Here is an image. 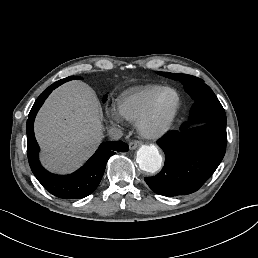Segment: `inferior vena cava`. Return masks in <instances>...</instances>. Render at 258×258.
I'll use <instances>...</instances> for the list:
<instances>
[{
    "label": "inferior vena cava",
    "instance_id": "602c4592",
    "mask_svg": "<svg viewBox=\"0 0 258 258\" xmlns=\"http://www.w3.org/2000/svg\"><path fill=\"white\" fill-rule=\"evenodd\" d=\"M108 135L111 139L119 140L123 136V131L118 127H110Z\"/></svg>",
    "mask_w": 258,
    "mask_h": 258
}]
</instances>
